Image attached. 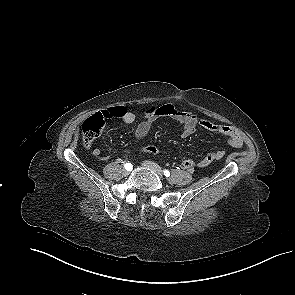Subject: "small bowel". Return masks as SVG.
I'll use <instances>...</instances> for the list:
<instances>
[{"label":"small bowel","instance_id":"small-bowel-1","mask_svg":"<svg viewBox=\"0 0 295 295\" xmlns=\"http://www.w3.org/2000/svg\"><path fill=\"white\" fill-rule=\"evenodd\" d=\"M100 115L104 119H118L127 124L133 123L136 119V115L124 106L109 107L102 110ZM162 117L172 118L182 125L180 131V136L182 138L192 136L198 127H202L208 131L224 135L232 147L240 148L243 144L242 137L234 128L228 125L214 123L210 120L199 118L192 112L180 109L172 104L148 108L145 112L144 120L141 121L135 129V138L139 141L143 140L149 133L153 124ZM223 153L224 152L221 150L214 151L208 153L199 161L183 159L181 161V167L187 171H193L195 168H203L208 166L214 160L221 159L219 155ZM93 154L96 157H100L101 151L99 149H94Z\"/></svg>","mask_w":295,"mask_h":295}]
</instances>
